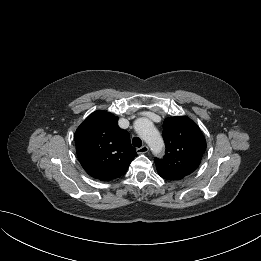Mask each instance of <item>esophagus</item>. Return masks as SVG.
I'll use <instances>...</instances> for the list:
<instances>
[{"instance_id":"34e87169","label":"esophagus","mask_w":261,"mask_h":261,"mask_svg":"<svg viewBox=\"0 0 261 261\" xmlns=\"http://www.w3.org/2000/svg\"><path fill=\"white\" fill-rule=\"evenodd\" d=\"M149 150L148 146L147 145H143L142 147L140 148H137V153L138 154H144V153H147Z\"/></svg>"}]
</instances>
